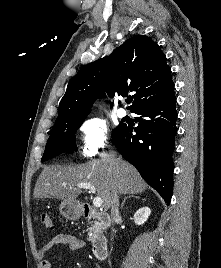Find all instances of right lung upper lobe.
<instances>
[{"label":"right lung upper lobe","mask_w":221,"mask_h":268,"mask_svg":"<svg viewBox=\"0 0 221 268\" xmlns=\"http://www.w3.org/2000/svg\"><path fill=\"white\" fill-rule=\"evenodd\" d=\"M166 56L149 37L137 35L107 57L85 65L68 83L56 121L87 116L97 98L134 92L133 112L173 93ZM55 121V122H56Z\"/></svg>","instance_id":"obj_1"}]
</instances>
